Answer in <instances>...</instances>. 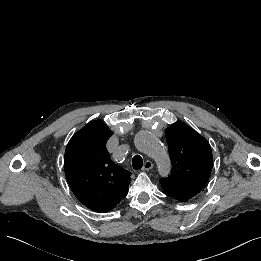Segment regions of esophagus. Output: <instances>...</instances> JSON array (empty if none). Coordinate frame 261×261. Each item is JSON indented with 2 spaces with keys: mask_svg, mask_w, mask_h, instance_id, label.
<instances>
[{
  "mask_svg": "<svg viewBox=\"0 0 261 261\" xmlns=\"http://www.w3.org/2000/svg\"><path fill=\"white\" fill-rule=\"evenodd\" d=\"M152 167H153V163H152L151 161L147 160V161L144 163L143 170H144V171L150 170Z\"/></svg>",
  "mask_w": 261,
  "mask_h": 261,
  "instance_id": "obj_1",
  "label": "esophagus"
}]
</instances>
